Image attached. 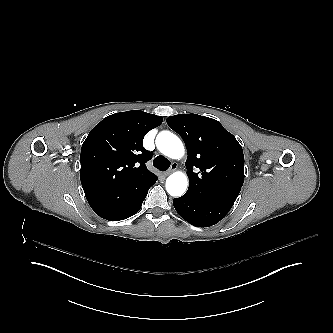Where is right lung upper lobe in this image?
I'll return each instance as SVG.
<instances>
[{
	"label": "right lung upper lobe",
	"mask_w": 333,
	"mask_h": 333,
	"mask_svg": "<svg viewBox=\"0 0 333 333\" xmlns=\"http://www.w3.org/2000/svg\"><path fill=\"white\" fill-rule=\"evenodd\" d=\"M162 121V117L140 110L104 118L82 145L80 174L98 170L111 179H123L150 172L145 163L153 153L143 147L142 141Z\"/></svg>",
	"instance_id": "right-lung-upper-lobe-1"
}]
</instances>
